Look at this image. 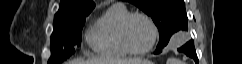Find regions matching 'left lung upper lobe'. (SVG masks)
<instances>
[{
  "mask_svg": "<svg viewBox=\"0 0 242 64\" xmlns=\"http://www.w3.org/2000/svg\"><path fill=\"white\" fill-rule=\"evenodd\" d=\"M151 16L159 29L158 48H165L171 35L179 30H188L184 0H126Z\"/></svg>",
  "mask_w": 242,
  "mask_h": 64,
  "instance_id": "obj_1",
  "label": "left lung upper lobe"
}]
</instances>
